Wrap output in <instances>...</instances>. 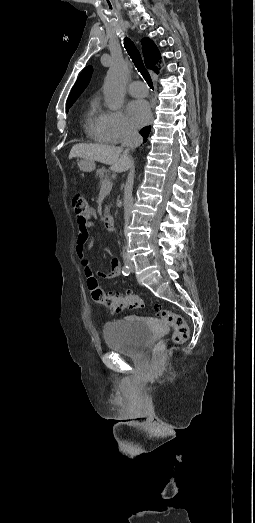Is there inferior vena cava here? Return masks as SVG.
I'll use <instances>...</instances> for the list:
<instances>
[{
	"instance_id": "1",
	"label": "inferior vena cava",
	"mask_w": 255,
	"mask_h": 523,
	"mask_svg": "<svg viewBox=\"0 0 255 523\" xmlns=\"http://www.w3.org/2000/svg\"><path fill=\"white\" fill-rule=\"evenodd\" d=\"M140 144H142V138L140 134H138L137 130H134V128H127L125 138L123 140V146L126 148L125 152H123V158L129 160L128 154L130 148H137V146H140Z\"/></svg>"
}]
</instances>
